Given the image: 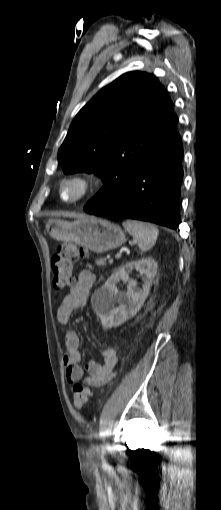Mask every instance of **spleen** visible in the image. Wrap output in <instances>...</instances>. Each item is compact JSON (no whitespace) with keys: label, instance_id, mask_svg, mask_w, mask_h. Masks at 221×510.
<instances>
[{"label":"spleen","instance_id":"spleen-1","mask_svg":"<svg viewBox=\"0 0 221 510\" xmlns=\"http://www.w3.org/2000/svg\"><path fill=\"white\" fill-rule=\"evenodd\" d=\"M122 224L126 231L138 241L141 251L150 250L156 243L159 231L155 225L136 220H126Z\"/></svg>","mask_w":221,"mask_h":510}]
</instances>
